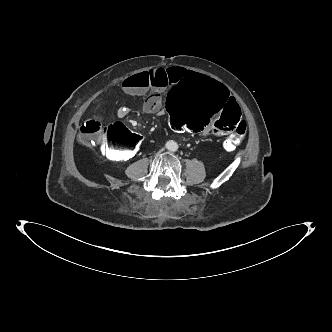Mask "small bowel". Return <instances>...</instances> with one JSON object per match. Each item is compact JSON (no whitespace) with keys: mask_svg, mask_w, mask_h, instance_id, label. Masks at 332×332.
Listing matches in <instances>:
<instances>
[{"mask_svg":"<svg viewBox=\"0 0 332 332\" xmlns=\"http://www.w3.org/2000/svg\"><path fill=\"white\" fill-rule=\"evenodd\" d=\"M186 74L187 70L180 67L149 69L125 78L122 90L130 96L151 93L144 102V111L149 114H163L161 94L172 90ZM128 113L129 109L122 107L117 111V116L124 118ZM171 128L174 129L172 126Z\"/></svg>","mask_w":332,"mask_h":332,"instance_id":"obj_1","label":"small bowel"}]
</instances>
